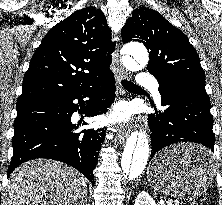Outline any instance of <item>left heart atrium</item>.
I'll list each match as a JSON object with an SVG mask.
<instances>
[{
  "label": "left heart atrium",
  "instance_id": "left-heart-atrium-1",
  "mask_svg": "<svg viewBox=\"0 0 222 205\" xmlns=\"http://www.w3.org/2000/svg\"><path fill=\"white\" fill-rule=\"evenodd\" d=\"M128 116V111L124 108H120L115 111V113L112 115V120L116 122H122L125 121Z\"/></svg>",
  "mask_w": 222,
  "mask_h": 205
}]
</instances>
